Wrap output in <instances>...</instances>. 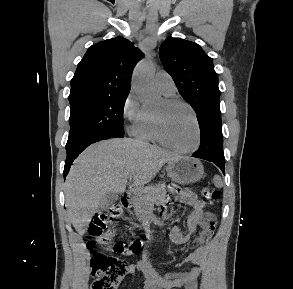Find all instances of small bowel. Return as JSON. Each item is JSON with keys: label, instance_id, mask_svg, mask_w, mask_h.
<instances>
[{"label": "small bowel", "instance_id": "1", "mask_svg": "<svg viewBox=\"0 0 293 289\" xmlns=\"http://www.w3.org/2000/svg\"><path fill=\"white\" fill-rule=\"evenodd\" d=\"M184 201L193 208L187 219V230L183 232L179 226H173L169 231V238L175 244H185L190 236L201 228L199 236L194 240V249L181 264L164 274L158 273L151 265L152 255L146 253L144 260L131 266V269L139 270L145 277V289H198V280L202 273V265L205 262L207 245L215 230V216L205 211V203L194 193L186 192ZM183 264H191L188 271L180 270Z\"/></svg>", "mask_w": 293, "mask_h": 289}]
</instances>
